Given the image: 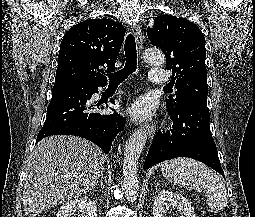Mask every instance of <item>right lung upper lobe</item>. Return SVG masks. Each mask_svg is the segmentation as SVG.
Returning <instances> with one entry per match:
<instances>
[{"mask_svg": "<svg viewBox=\"0 0 255 217\" xmlns=\"http://www.w3.org/2000/svg\"><path fill=\"white\" fill-rule=\"evenodd\" d=\"M125 31L110 19H89L73 26L60 45L54 86L107 84L103 68H107L106 72L115 70Z\"/></svg>", "mask_w": 255, "mask_h": 217, "instance_id": "obj_1", "label": "right lung upper lobe"}]
</instances>
